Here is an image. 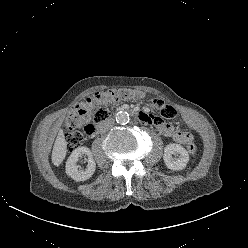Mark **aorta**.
Masks as SVG:
<instances>
[{
  "label": "aorta",
  "mask_w": 248,
  "mask_h": 248,
  "mask_svg": "<svg viewBox=\"0 0 248 248\" xmlns=\"http://www.w3.org/2000/svg\"><path fill=\"white\" fill-rule=\"evenodd\" d=\"M116 122L119 124H127L129 122V114L127 112L121 111L116 114Z\"/></svg>",
  "instance_id": "1"
}]
</instances>
